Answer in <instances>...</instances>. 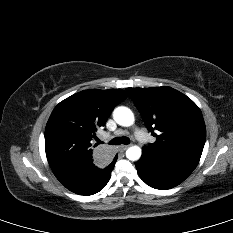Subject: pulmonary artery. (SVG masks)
<instances>
[{
  "mask_svg": "<svg viewBox=\"0 0 233 233\" xmlns=\"http://www.w3.org/2000/svg\"><path fill=\"white\" fill-rule=\"evenodd\" d=\"M135 136L140 140L143 139L142 132L138 129L135 130Z\"/></svg>",
  "mask_w": 233,
  "mask_h": 233,
  "instance_id": "obj_1",
  "label": "pulmonary artery"
}]
</instances>
